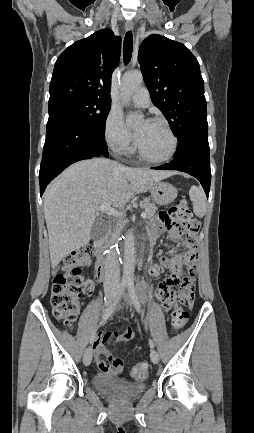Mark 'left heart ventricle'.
Returning <instances> with one entry per match:
<instances>
[{
	"mask_svg": "<svg viewBox=\"0 0 254 433\" xmlns=\"http://www.w3.org/2000/svg\"><path fill=\"white\" fill-rule=\"evenodd\" d=\"M139 129L142 131L137 137L138 143L149 157L162 158L170 152L172 139L161 124L142 122L137 127V130Z\"/></svg>",
	"mask_w": 254,
	"mask_h": 433,
	"instance_id": "left-heart-ventricle-1",
	"label": "left heart ventricle"
}]
</instances>
